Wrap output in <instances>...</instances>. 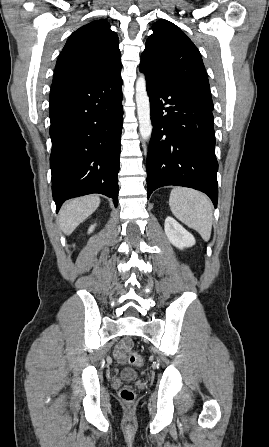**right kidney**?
Listing matches in <instances>:
<instances>
[{"instance_id":"1","label":"right kidney","mask_w":269,"mask_h":447,"mask_svg":"<svg viewBox=\"0 0 269 447\" xmlns=\"http://www.w3.org/2000/svg\"><path fill=\"white\" fill-rule=\"evenodd\" d=\"M95 225H91V227H89V233H91V231H93Z\"/></svg>"}]
</instances>
